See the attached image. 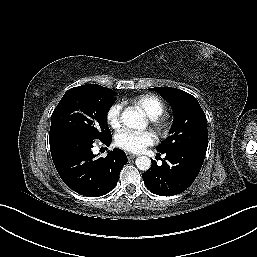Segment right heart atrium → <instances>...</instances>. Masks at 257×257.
I'll return each instance as SVG.
<instances>
[{"label": "right heart atrium", "instance_id": "1", "mask_svg": "<svg viewBox=\"0 0 257 257\" xmlns=\"http://www.w3.org/2000/svg\"><path fill=\"white\" fill-rule=\"evenodd\" d=\"M106 120L110 127L118 129L122 122V104L114 103L112 104L106 113Z\"/></svg>", "mask_w": 257, "mask_h": 257}]
</instances>
